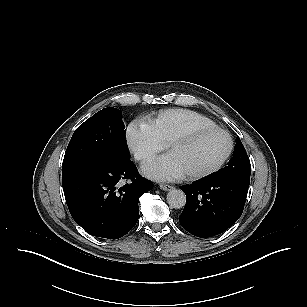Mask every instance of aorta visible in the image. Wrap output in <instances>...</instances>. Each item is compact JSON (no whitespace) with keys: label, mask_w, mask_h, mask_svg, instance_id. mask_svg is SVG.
Listing matches in <instances>:
<instances>
[{"label":"aorta","mask_w":307,"mask_h":307,"mask_svg":"<svg viewBox=\"0 0 307 307\" xmlns=\"http://www.w3.org/2000/svg\"><path fill=\"white\" fill-rule=\"evenodd\" d=\"M186 196L180 189L172 188L167 193V203L171 208H182L185 205Z\"/></svg>","instance_id":"obj_1"}]
</instances>
